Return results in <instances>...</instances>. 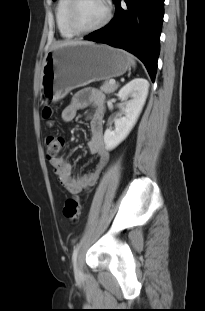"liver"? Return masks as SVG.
Instances as JSON below:
<instances>
[{"instance_id": "obj_1", "label": "liver", "mask_w": 205, "mask_h": 311, "mask_svg": "<svg viewBox=\"0 0 205 311\" xmlns=\"http://www.w3.org/2000/svg\"><path fill=\"white\" fill-rule=\"evenodd\" d=\"M82 43H84V44H88V43H90V42H88V41H69V40H66V41H63V42H59V43H56L54 46H53V48H55V47H61V46H64V45H69V44H82Z\"/></svg>"}]
</instances>
